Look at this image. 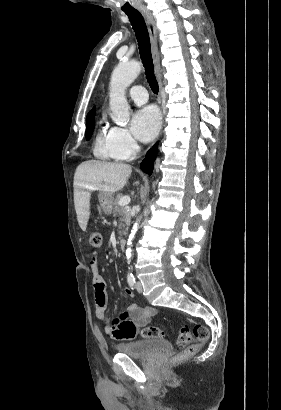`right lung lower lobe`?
I'll return each instance as SVG.
<instances>
[{"label": "right lung lower lobe", "mask_w": 281, "mask_h": 410, "mask_svg": "<svg viewBox=\"0 0 281 410\" xmlns=\"http://www.w3.org/2000/svg\"><path fill=\"white\" fill-rule=\"evenodd\" d=\"M153 151L150 149L147 154H146V158L143 160V162L141 163V169L145 172L148 173L149 175L152 174L153 171V162L155 160L156 157V150H157V145L153 146Z\"/></svg>", "instance_id": "right-lung-lower-lobe-1"}]
</instances>
